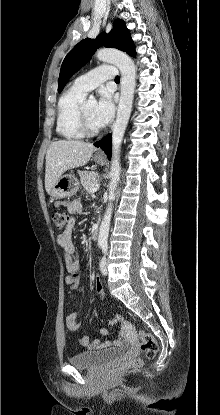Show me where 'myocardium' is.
Instances as JSON below:
<instances>
[{
  "label": "myocardium",
  "mask_w": 220,
  "mask_h": 415,
  "mask_svg": "<svg viewBox=\"0 0 220 415\" xmlns=\"http://www.w3.org/2000/svg\"><path fill=\"white\" fill-rule=\"evenodd\" d=\"M85 104H86V101L84 100L78 108L77 125H78L79 130L84 136L93 137V136L98 135L101 132L102 127L100 126L99 128H96V129H93L90 127L87 117H86Z\"/></svg>",
  "instance_id": "obj_1"
}]
</instances>
